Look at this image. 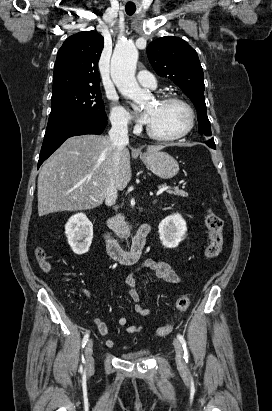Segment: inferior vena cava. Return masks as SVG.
<instances>
[{
  "label": "inferior vena cava",
  "instance_id": "602c4592",
  "mask_svg": "<svg viewBox=\"0 0 272 411\" xmlns=\"http://www.w3.org/2000/svg\"><path fill=\"white\" fill-rule=\"evenodd\" d=\"M109 131L111 147L115 150L112 156V166L108 176L105 193V203L112 206L117 199L116 174L119 167L120 152L129 143L127 121L123 118H112Z\"/></svg>",
  "mask_w": 272,
  "mask_h": 411
}]
</instances>
